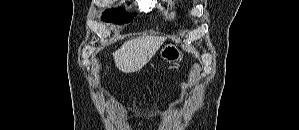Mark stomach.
Here are the masks:
<instances>
[{"mask_svg": "<svg viewBox=\"0 0 299 130\" xmlns=\"http://www.w3.org/2000/svg\"><path fill=\"white\" fill-rule=\"evenodd\" d=\"M159 56L166 62L176 63L182 60L183 53L176 44L170 43L160 49Z\"/></svg>", "mask_w": 299, "mask_h": 130, "instance_id": "stomach-1", "label": "stomach"}]
</instances>
